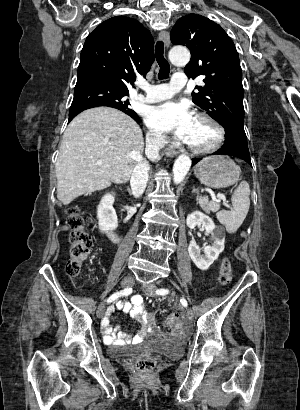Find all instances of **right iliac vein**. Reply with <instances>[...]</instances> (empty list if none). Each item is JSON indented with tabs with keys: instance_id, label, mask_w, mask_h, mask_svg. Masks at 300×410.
I'll return each mask as SVG.
<instances>
[{
	"instance_id": "63e3f726",
	"label": "right iliac vein",
	"mask_w": 300,
	"mask_h": 410,
	"mask_svg": "<svg viewBox=\"0 0 300 410\" xmlns=\"http://www.w3.org/2000/svg\"><path fill=\"white\" fill-rule=\"evenodd\" d=\"M134 282H135V280H134L133 277H131V276H126V277L123 278V280L121 281V285H122V287L129 288V287H131V286L134 285ZM105 308H106L105 303H101V304L99 305V307H98V309H97V317H99V318L103 317L104 312H105Z\"/></svg>"
}]
</instances>
